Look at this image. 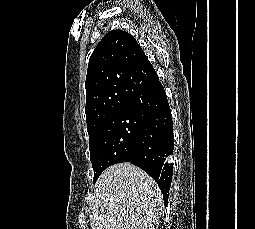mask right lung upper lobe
<instances>
[{"label": "right lung upper lobe", "instance_id": "cb5924a9", "mask_svg": "<svg viewBox=\"0 0 255 229\" xmlns=\"http://www.w3.org/2000/svg\"><path fill=\"white\" fill-rule=\"evenodd\" d=\"M157 75L136 39L122 30L108 32L90 57L85 88L89 136L127 108Z\"/></svg>", "mask_w": 255, "mask_h": 229}]
</instances>
